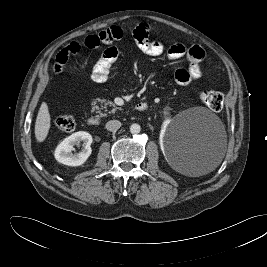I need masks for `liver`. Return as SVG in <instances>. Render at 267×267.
Here are the masks:
<instances>
[{"instance_id": "obj_1", "label": "liver", "mask_w": 267, "mask_h": 267, "mask_svg": "<svg viewBox=\"0 0 267 267\" xmlns=\"http://www.w3.org/2000/svg\"><path fill=\"white\" fill-rule=\"evenodd\" d=\"M50 121L48 106L45 102H42L35 122V137L37 142H43L46 139L50 129Z\"/></svg>"}]
</instances>
